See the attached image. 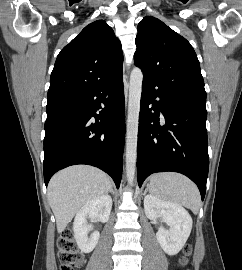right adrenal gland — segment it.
I'll return each instance as SVG.
<instances>
[{"mask_svg":"<svg viewBox=\"0 0 242 270\" xmlns=\"http://www.w3.org/2000/svg\"><path fill=\"white\" fill-rule=\"evenodd\" d=\"M110 193H112L113 195H114V191H113V189L111 188L110 189V191H109Z\"/></svg>","mask_w":242,"mask_h":270,"instance_id":"1","label":"right adrenal gland"}]
</instances>
